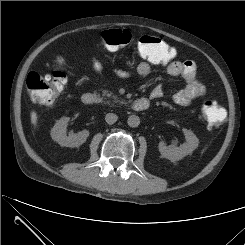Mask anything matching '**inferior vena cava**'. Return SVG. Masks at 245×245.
I'll list each match as a JSON object with an SVG mask.
<instances>
[{"label":"inferior vena cava","instance_id":"obj_1","mask_svg":"<svg viewBox=\"0 0 245 245\" xmlns=\"http://www.w3.org/2000/svg\"><path fill=\"white\" fill-rule=\"evenodd\" d=\"M118 119V116L114 113H107L105 116V120L108 124H114Z\"/></svg>","mask_w":245,"mask_h":245}]
</instances>
